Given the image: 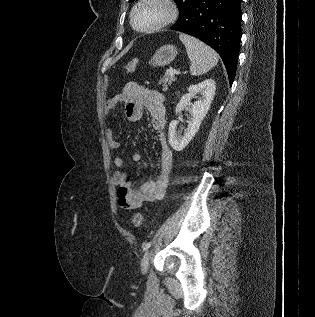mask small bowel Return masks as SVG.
Instances as JSON below:
<instances>
[{"label":"small bowel","instance_id":"c3829d8e","mask_svg":"<svg viewBox=\"0 0 315 317\" xmlns=\"http://www.w3.org/2000/svg\"><path fill=\"white\" fill-rule=\"evenodd\" d=\"M118 104H123L125 116L132 122L139 121L143 109L146 108L150 115L151 126L159 134L161 146L160 167L156 179L142 182L139 185H134L129 181L126 172L122 170L126 162L125 157L117 155L114 158V164L118 168L113 175L114 183L118 187V204L124 210H135L148 203L161 200L166 193L173 166V153L167 145L164 135L166 109L161 93L137 82L127 83L120 94L107 102L106 114L112 112ZM106 140L112 150L121 147V143L115 139L111 128L106 131ZM130 159L133 162H139L142 155L136 152L130 156Z\"/></svg>","mask_w":315,"mask_h":317}]
</instances>
